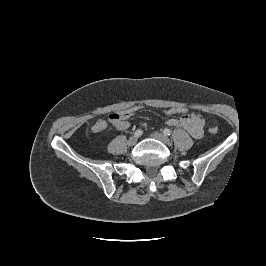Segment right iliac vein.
I'll return each instance as SVG.
<instances>
[{
    "instance_id": "1",
    "label": "right iliac vein",
    "mask_w": 266,
    "mask_h": 266,
    "mask_svg": "<svg viewBox=\"0 0 266 266\" xmlns=\"http://www.w3.org/2000/svg\"><path fill=\"white\" fill-rule=\"evenodd\" d=\"M138 141V137L137 136H131L129 139H128V145L129 146H134Z\"/></svg>"
}]
</instances>
